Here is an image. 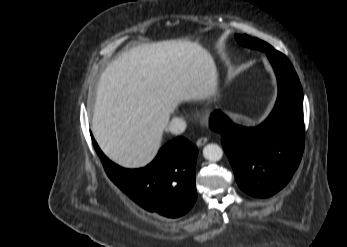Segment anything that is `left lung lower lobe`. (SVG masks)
Returning <instances> with one entry per match:
<instances>
[{"label":"left lung lower lobe","mask_w":347,"mask_h":247,"mask_svg":"<svg viewBox=\"0 0 347 247\" xmlns=\"http://www.w3.org/2000/svg\"><path fill=\"white\" fill-rule=\"evenodd\" d=\"M267 56L278 80L277 101L268 118L255 128H246L215 111L210 121L211 129L222 136L238 185L259 198L274 195L289 182L304 150L300 81L282 53Z\"/></svg>","instance_id":"1"}]
</instances>
